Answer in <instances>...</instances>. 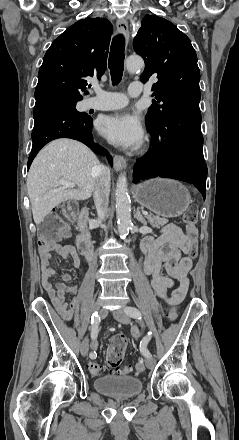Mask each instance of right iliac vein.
Instances as JSON below:
<instances>
[{"instance_id":"right-iliac-vein-1","label":"right iliac vein","mask_w":239,"mask_h":440,"mask_svg":"<svg viewBox=\"0 0 239 440\" xmlns=\"http://www.w3.org/2000/svg\"><path fill=\"white\" fill-rule=\"evenodd\" d=\"M96 308H98V305H96ZM107 313H108L107 310L105 308H102L99 313L100 318H105L107 316ZM88 350H89V343H88V338L86 337L81 343V347H80L81 354L83 356H86L88 354Z\"/></svg>"}]
</instances>
